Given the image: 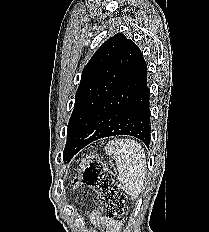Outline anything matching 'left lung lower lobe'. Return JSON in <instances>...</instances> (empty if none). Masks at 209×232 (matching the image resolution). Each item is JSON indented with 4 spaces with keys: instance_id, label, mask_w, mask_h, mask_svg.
Returning <instances> with one entry per match:
<instances>
[{
    "instance_id": "left-lung-lower-lobe-1",
    "label": "left lung lower lobe",
    "mask_w": 209,
    "mask_h": 232,
    "mask_svg": "<svg viewBox=\"0 0 209 232\" xmlns=\"http://www.w3.org/2000/svg\"><path fill=\"white\" fill-rule=\"evenodd\" d=\"M149 95L146 62L139 49L123 81L90 111L74 133L68 161L86 145L104 137L129 135L149 146Z\"/></svg>"
}]
</instances>
